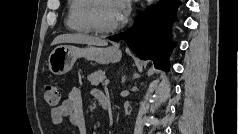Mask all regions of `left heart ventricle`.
Listing matches in <instances>:
<instances>
[{
    "label": "left heart ventricle",
    "mask_w": 239,
    "mask_h": 134,
    "mask_svg": "<svg viewBox=\"0 0 239 134\" xmlns=\"http://www.w3.org/2000/svg\"><path fill=\"white\" fill-rule=\"evenodd\" d=\"M96 16L99 24L103 27H111L118 24L113 1L104 0L99 3Z\"/></svg>",
    "instance_id": "1"
}]
</instances>
